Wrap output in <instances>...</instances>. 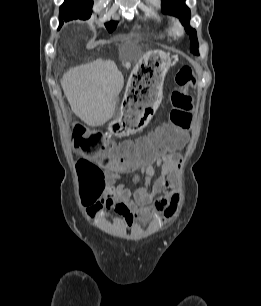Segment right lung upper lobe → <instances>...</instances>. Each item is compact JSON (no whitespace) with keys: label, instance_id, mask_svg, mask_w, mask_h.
<instances>
[{"label":"right lung upper lobe","instance_id":"right-lung-upper-lobe-1","mask_svg":"<svg viewBox=\"0 0 261 306\" xmlns=\"http://www.w3.org/2000/svg\"><path fill=\"white\" fill-rule=\"evenodd\" d=\"M72 1H75V0H65V3L72 2Z\"/></svg>","mask_w":261,"mask_h":306}]
</instances>
